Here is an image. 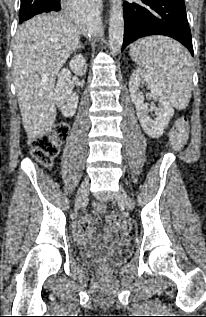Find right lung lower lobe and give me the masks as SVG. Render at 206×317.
I'll return each mask as SVG.
<instances>
[{
    "label": "right lung lower lobe",
    "instance_id": "1",
    "mask_svg": "<svg viewBox=\"0 0 206 317\" xmlns=\"http://www.w3.org/2000/svg\"><path fill=\"white\" fill-rule=\"evenodd\" d=\"M63 0H50L47 2H44L46 6H52V5H58L61 3Z\"/></svg>",
    "mask_w": 206,
    "mask_h": 317
}]
</instances>
